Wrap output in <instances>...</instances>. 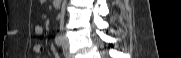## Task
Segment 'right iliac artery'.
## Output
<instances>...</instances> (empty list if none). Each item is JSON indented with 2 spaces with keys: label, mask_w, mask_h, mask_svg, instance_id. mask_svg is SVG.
<instances>
[{
  "label": "right iliac artery",
  "mask_w": 181,
  "mask_h": 58,
  "mask_svg": "<svg viewBox=\"0 0 181 58\" xmlns=\"http://www.w3.org/2000/svg\"><path fill=\"white\" fill-rule=\"evenodd\" d=\"M55 43L57 46H61L63 44V36L62 35H57L55 38Z\"/></svg>",
  "instance_id": "82829eb1"
}]
</instances>
